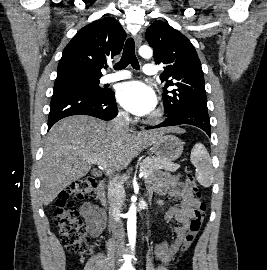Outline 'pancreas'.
Here are the masks:
<instances>
[{"label": "pancreas", "mask_w": 267, "mask_h": 270, "mask_svg": "<svg viewBox=\"0 0 267 270\" xmlns=\"http://www.w3.org/2000/svg\"><path fill=\"white\" fill-rule=\"evenodd\" d=\"M178 169V165L170 161L162 160L155 156H148L141 163L139 170L149 175L158 172L160 170L175 171Z\"/></svg>", "instance_id": "pancreas-1"}]
</instances>
